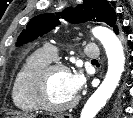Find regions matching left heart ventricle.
Here are the masks:
<instances>
[{"label": "left heart ventricle", "mask_w": 133, "mask_h": 118, "mask_svg": "<svg viewBox=\"0 0 133 118\" xmlns=\"http://www.w3.org/2000/svg\"><path fill=\"white\" fill-rule=\"evenodd\" d=\"M69 72L55 70L49 77L47 84V98L55 105H63L71 101L75 96L70 92L68 85Z\"/></svg>", "instance_id": "obj_1"}]
</instances>
